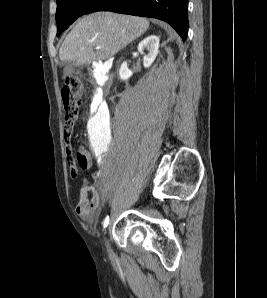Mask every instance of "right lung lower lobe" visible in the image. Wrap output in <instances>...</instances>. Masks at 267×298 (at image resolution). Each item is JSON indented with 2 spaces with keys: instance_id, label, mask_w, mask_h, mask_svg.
Segmentation results:
<instances>
[{
  "instance_id": "98d812e1",
  "label": "right lung lower lobe",
  "mask_w": 267,
  "mask_h": 298,
  "mask_svg": "<svg viewBox=\"0 0 267 298\" xmlns=\"http://www.w3.org/2000/svg\"><path fill=\"white\" fill-rule=\"evenodd\" d=\"M188 0H100L91 12L113 11L151 17L169 23L186 40L188 31Z\"/></svg>"
}]
</instances>
